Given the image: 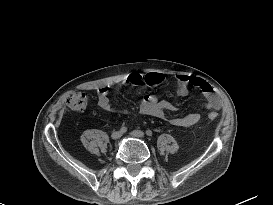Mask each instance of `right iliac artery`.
Masks as SVG:
<instances>
[{"label":"right iliac artery","mask_w":273,"mask_h":205,"mask_svg":"<svg viewBox=\"0 0 273 205\" xmlns=\"http://www.w3.org/2000/svg\"><path fill=\"white\" fill-rule=\"evenodd\" d=\"M126 131H127V127L126 126H122L120 128V132L125 133Z\"/></svg>","instance_id":"82829eb1"}]
</instances>
